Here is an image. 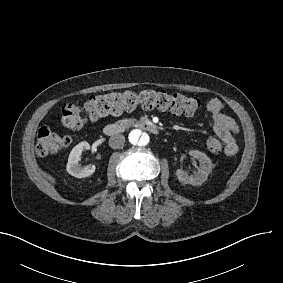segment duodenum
Listing matches in <instances>:
<instances>
[{
    "label": "duodenum",
    "mask_w": 283,
    "mask_h": 283,
    "mask_svg": "<svg viewBox=\"0 0 283 283\" xmlns=\"http://www.w3.org/2000/svg\"><path fill=\"white\" fill-rule=\"evenodd\" d=\"M131 127L141 129L142 131H145L151 134H157L159 132L158 128L150 123L140 122V121H124V122L106 125L103 128V133L106 136H114V135L124 132L125 130Z\"/></svg>",
    "instance_id": "obj_1"
}]
</instances>
